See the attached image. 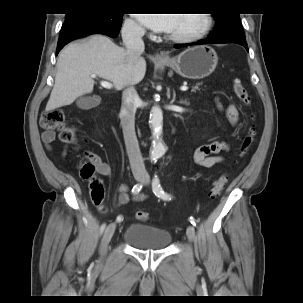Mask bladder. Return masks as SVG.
<instances>
[{"label":"bladder","instance_id":"obj_1","mask_svg":"<svg viewBox=\"0 0 303 303\" xmlns=\"http://www.w3.org/2000/svg\"><path fill=\"white\" fill-rule=\"evenodd\" d=\"M124 240L139 249L159 250L170 243L171 235L168 231L151 225L133 223L127 227Z\"/></svg>","mask_w":303,"mask_h":303}]
</instances>
